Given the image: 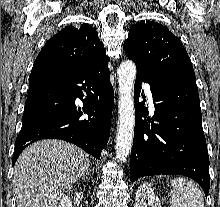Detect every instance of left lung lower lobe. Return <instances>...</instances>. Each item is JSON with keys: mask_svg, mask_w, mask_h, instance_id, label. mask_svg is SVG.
I'll return each instance as SVG.
<instances>
[{"mask_svg": "<svg viewBox=\"0 0 220 207\" xmlns=\"http://www.w3.org/2000/svg\"><path fill=\"white\" fill-rule=\"evenodd\" d=\"M142 82L149 83L155 102L152 121L145 101L139 102ZM134 101L131 181L148 175H184L198 182L207 197L209 157L195 77L181 73L152 77L137 70Z\"/></svg>", "mask_w": 220, "mask_h": 207, "instance_id": "left-lung-lower-lobe-1", "label": "left lung lower lobe"}]
</instances>
